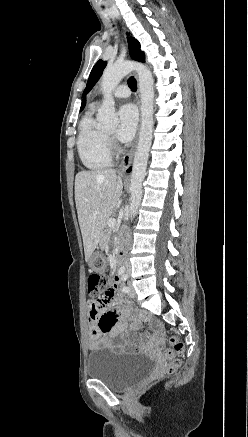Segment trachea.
Instances as JSON below:
<instances>
[{
  "label": "trachea",
  "instance_id": "1",
  "mask_svg": "<svg viewBox=\"0 0 248 437\" xmlns=\"http://www.w3.org/2000/svg\"><path fill=\"white\" fill-rule=\"evenodd\" d=\"M128 85L133 91H136L137 83H136V80L134 79V77L129 78Z\"/></svg>",
  "mask_w": 248,
  "mask_h": 437
}]
</instances>
